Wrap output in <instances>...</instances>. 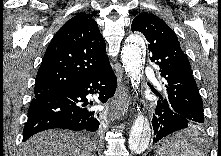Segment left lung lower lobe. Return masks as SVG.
<instances>
[{"label":"left lung lower lobe","mask_w":221,"mask_h":156,"mask_svg":"<svg viewBox=\"0 0 221 156\" xmlns=\"http://www.w3.org/2000/svg\"><path fill=\"white\" fill-rule=\"evenodd\" d=\"M153 116V143L158 142L160 139L175 131L197 125L194 121L189 120L183 115L175 112L167 100L163 98L158 100L157 107Z\"/></svg>","instance_id":"obj_1"}]
</instances>
